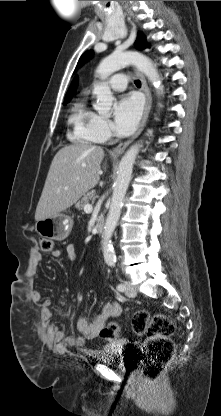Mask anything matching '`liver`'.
I'll return each instance as SVG.
<instances>
[{"instance_id": "obj_1", "label": "liver", "mask_w": 221, "mask_h": 416, "mask_svg": "<svg viewBox=\"0 0 221 416\" xmlns=\"http://www.w3.org/2000/svg\"><path fill=\"white\" fill-rule=\"evenodd\" d=\"M103 158L104 151L100 146L75 143L61 148L51 162L35 220L58 215L95 187L100 179Z\"/></svg>"}]
</instances>
